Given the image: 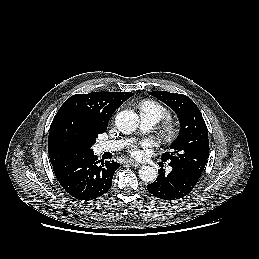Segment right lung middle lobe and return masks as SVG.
I'll list each match as a JSON object with an SVG mask.
<instances>
[{
  "label": "right lung middle lobe",
  "mask_w": 259,
  "mask_h": 259,
  "mask_svg": "<svg viewBox=\"0 0 259 259\" xmlns=\"http://www.w3.org/2000/svg\"><path fill=\"white\" fill-rule=\"evenodd\" d=\"M97 135L85 130L65 125L57 129L50 141V160L54 161L66 156L91 153Z\"/></svg>",
  "instance_id": "1"
}]
</instances>
